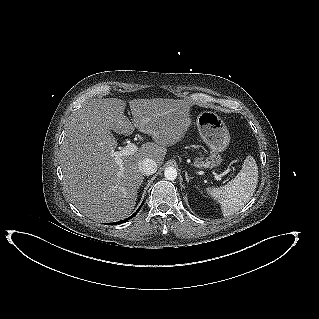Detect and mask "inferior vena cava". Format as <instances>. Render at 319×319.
Masks as SVG:
<instances>
[{
	"mask_svg": "<svg viewBox=\"0 0 319 319\" xmlns=\"http://www.w3.org/2000/svg\"><path fill=\"white\" fill-rule=\"evenodd\" d=\"M139 170L143 175H152L157 171V163L150 158H145L139 163Z\"/></svg>",
	"mask_w": 319,
	"mask_h": 319,
	"instance_id": "inferior-vena-cava-1",
	"label": "inferior vena cava"
}]
</instances>
